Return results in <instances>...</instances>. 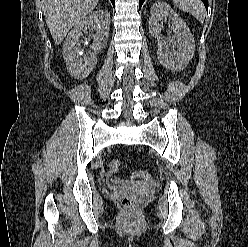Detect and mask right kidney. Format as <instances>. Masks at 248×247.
I'll use <instances>...</instances> for the list:
<instances>
[{"mask_svg": "<svg viewBox=\"0 0 248 247\" xmlns=\"http://www.w3.org/2000/svg\"><path fill=\"white\" fill-rule=\"evenodd\" d=\"M110 14L101 9L84 17L74 25L63 44V58L69 73L76 79H84L97 64L96 54L107 44L109 36ZM95 31V34L91 32ZM92 36L91 51L80 57V50L86 36Z\"/></svg>", "mask_w": 248, "mask_h": 247, "instance_id": "ca27d5eb", "label": "right kidney"}]
</instances>
